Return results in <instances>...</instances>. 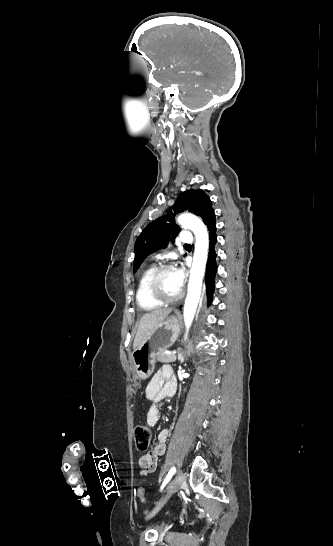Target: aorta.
Returning <instances> with one entry per match:
<instances>
[{"mask_svg":"<svg viewBox=\"0 0 333 546\" xmlns=\"http://www.w3.org/2000/svg\"><path fill=\"white\" fill-rule=\"evenodd\" d=\"M177 222L182 227L191 229L196 239L193 264L188 283V294L185 300L183 313L186 330L188 332L200 299L202 279L204 276L208 255L209 239L207 229L198 217L188 213H183L179 215Z\"/></svg>","mask_w":333,"mask_h":546,"instance_id":"762f6f07","label":"aorta"}]
</instances>
